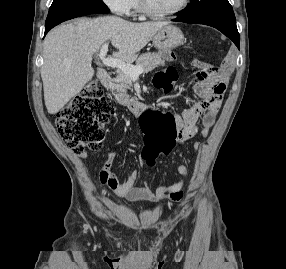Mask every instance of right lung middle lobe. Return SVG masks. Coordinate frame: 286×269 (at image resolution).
Masks as SVG:
<instances>
[{
  "label": "right lung middle lobe",
  "instance_id": "right-lung-middle-lobe-1",
  "mask_svg": "<svg viewBox=\"0 0 286 269\" xmlns=\"http://www.w3.org/2000/svg\"><path fill=\"white\" fill-rule=\"evenodd\" d=\"M110 10L102 0H53L45 22V28L92 13H108Z\"/></svg>",
  "mask_w": 286,
  "mask_h": 269
}]
</instances>
